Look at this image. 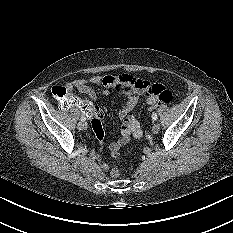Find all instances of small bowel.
I'll return each instance as SVG.
<instances>
[{
    "label": "small bowel",
    "instance_id": "small-bowel-1",
    "mask_svg": "<svg viewBox=\"0 0 233 233\" xmlns=\"http://www.w3.org/2000/svg\"><path fill=\"white\" fill-rule=\"evenodd\" d=\"M129 76H94L89 79H77L74 81H69L65 83L64 87L71 94L74 89L81 93L86 94L91 99L95 100L97 98V93L94 87L101 88L103 94H108L111 90H116L119 93L126 96V101L123 107L119 111V118L122 121L121 125V135L120 137L110 144V150L112 152H117L124 146L131 137L140 138L143 135L142 128L133 114V110L138 104L141 95L147 97L146 101L151 104L155 99V96L149 94L146 88L134 87L130 84ZM134 79V78H133ZM142 85L150 86L152 85L148 81L139 80ZM86 114V113H85ZM87 115V114H86ZM94 120V119H92ZM102 121V119L99 118ZM92 122V121H91ZM103 123V121H102ZM94 135V130H93ZM101 167L104 171H108L109 167L106 163H101Z\"/></svg>",
    "mask_w": 233,
    "mask_h": 233
}]
</instances>
